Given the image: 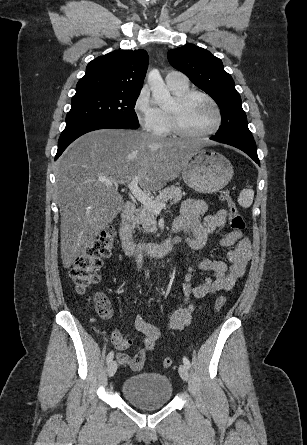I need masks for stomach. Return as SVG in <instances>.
Returning <instances> with one entry per match:
<instances>
[{"mask_svg":"<svg viewBox=\"0 0 307 445\" xmlns=\"http://www.w3.org/2000/svg\"><path fill=\"white\" fill-rule=\"evenodd\" d=\"M233 176V166L223 154L197 148L182 170V178L195 192L212 194L224 188Z\"/></svg>","mask_w":307,"mask_h":445,"instance_id":"0dacf381","label":"stomach"}]
</instances>
